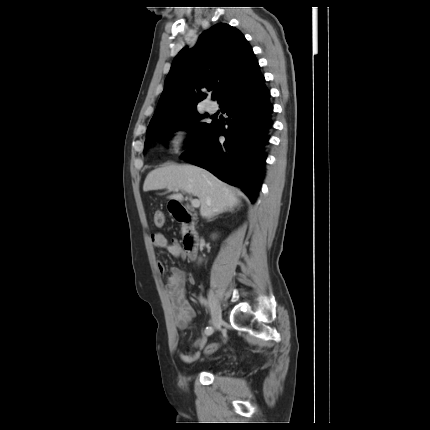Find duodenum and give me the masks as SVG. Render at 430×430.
Segmentation results:
<instances>
[{"instance_id":"410a0bca","label":"duodenum","mask_w":430,"mask_h":430,"mask_svg":"<svg viewBox=\"0 0 430 430\" xmlns=\"http://www.w3.org/2000/svg\"><path fill=\"white\" fill-rule=\"evenodd\" d=\"M171 212L174 218L184 227L183 247L186 255L189 258L195 257L198 251L199 237L195 230L194 216L179 203L173 206Z\"/></svg>"}]
</instances>
